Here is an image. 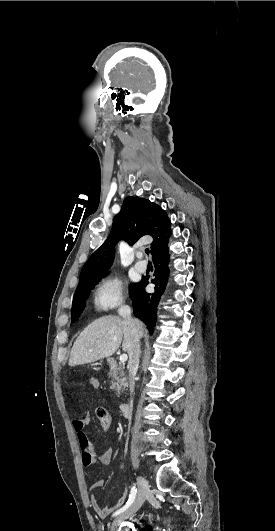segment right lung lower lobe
<instances>
[{"label":"right lung lower lobe","mask_w":275,"mask_h":531,"mask_svg":"<svg viewBox=\"0 0 275 531\" xmlns=\"http://www.w3.org/2000/svg\"><path fill=\"white\" fill-rule=\"evenodd\" d=\"M167 245L168 239L152 253L155 277L151 282L155 284V292L152 294L145 292V287L149 283L148 278H143L140 282L133 284L129 291V296L133 301L134 315L147 325L150 332H153L155 326L157 305L164 292L169 273Z\"/></svg>","instance_id":"1"}]
</instances>
